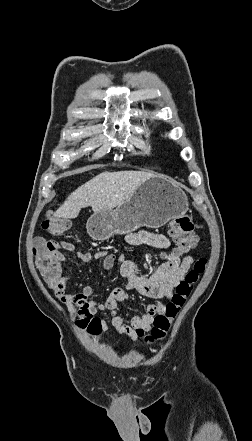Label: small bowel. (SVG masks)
I'll return each instance as SVG.
<instances>
[{
	"instance_id": "c3829d8e",
	"label": "small bowel",
	"mask_w": 252,
	"mask_h": 441,
	"mask_svg": "<svg viewBox=\"0 0 252 441\" xmlns=\"http://www.w3.org/2000/svg\"><path fill=\"white\" fill-rule=\"evenodd\" d=\"M132 245H149L157 249L166 250L170 247L169 239L159 233L139 231L127 236ZM60 247L68 252H75L76 246L71 242H62ZM60 259L62 256L59 254ZM76 257L83 263H90L103 259V268L111 270L116 261L120 264V274L125 279L124 287L114 288L105 302L90 299L93 289L86 285L80 293H65L66 277H61L59 282L47 281L56 298L67 308L69 316L75 321L77 328L84 329L99 311H106L111 315V325L119 334L137 339V330L149 331L156 315L163 313L165 305L163 300L172 298L173 293L193 264V257L187 255L183 258L174 250H169L164 255V262L151 274L142 275L138 272L136 264L125 259L122 254L97 252H76ZM136 290L140 294L154 299L155 302L146 306L143 312H119V306L128 298V292ZM128 320L129 324H125ZM103 327L105 326L104 323Z\"/></svg>"
}]
</instances>
